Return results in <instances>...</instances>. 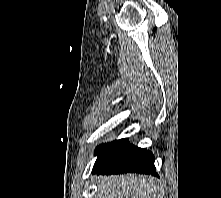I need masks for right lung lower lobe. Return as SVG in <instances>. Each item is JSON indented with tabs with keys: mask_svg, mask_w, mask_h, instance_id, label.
<instances>
[{
	"mask_svg": "<svg viewBox=\"0 0 221 198\" xmlns=\"http://www.w3.org/2000/svg\"><path fill=\"white\" fill-rule=\"evenodd\" d=\"M118 174V173H140L158 176L154 167L153 154L143 148L128 144L112 159L101 167L94 169L92 173Z\"/></svg>",
	"mask_w": 221,
	"mask_h": 198,
	"instance_id": "right-lung-lower-lobe-1",
	"label": "right lung lower lobe"
}]
</instances>
